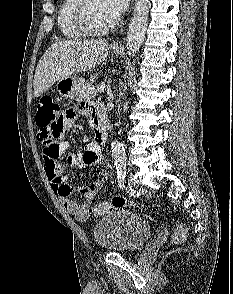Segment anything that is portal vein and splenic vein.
Returning <instances> with one entry per match:
<instances>
[{
	"instance_id": "portal-vein-and-splenic-vein-1",
	"label": "portal vein and splenic vein",
	"mask_w": 233,
	"mask_h": 294,
	"mask_svg": "<svg viewBox=\"0 0 233 294\" xmlns=\"http://www.w3.org/2000/svg\"><path fill=\"white\" fill-rule=\"evenodd\" d=\"M104 88H105V84L104 83H101L98 87H97V91L99 93H102L104 91Z\"/></svg>"
}]
</instances>
